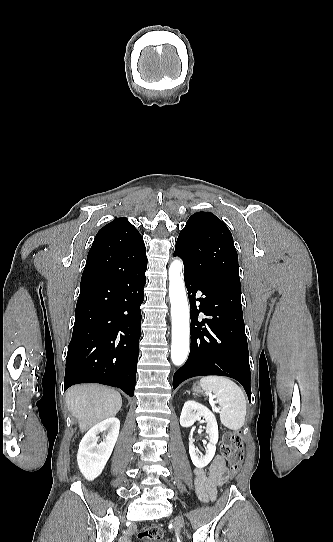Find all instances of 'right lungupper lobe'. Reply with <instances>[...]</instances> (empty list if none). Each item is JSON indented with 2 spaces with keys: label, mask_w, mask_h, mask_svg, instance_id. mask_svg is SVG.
Segmentation results:
<instances>
[{
  "label": "right lung upper lobe",
  "mask_w": 333,
  "mask_h": 542,
  "mask_svg": "<svg viewBox=\"0 0 333 542\" xmlns=\"http://www.w3.org/2000/svg\"><path fill=\"white\" fill-rule=\"evenodd\" d=\"M140 242H143L142 236L127 218H117L98 231L89 253Z\"/></svg>",
  "instance_id": "right-lung-upper-lobe-1"
}]
</instances>
